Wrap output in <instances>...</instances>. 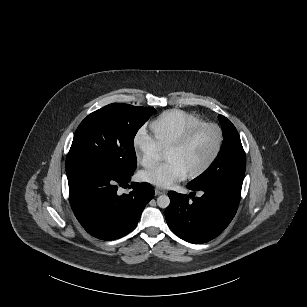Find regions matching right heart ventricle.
Returning <instances> with one entry per match:
<instances>
[{"label":"right heart ventricle","mask_w":307,"mask_h":307,"mask_svg":"<svg viewBox=\"0 0 307 307\" xmlns=\"http://www.w3.org/2000/svg\"><path fill=\"white\" fill-rule=\"evenodd\" d=\"M202 124L203 121L191 113L178 109L168 110L160 114L151 124L152 135L148 137L158 145L160 150H165L172 142Z\"/></svg>","instance_id":"1"}]
</instances>
